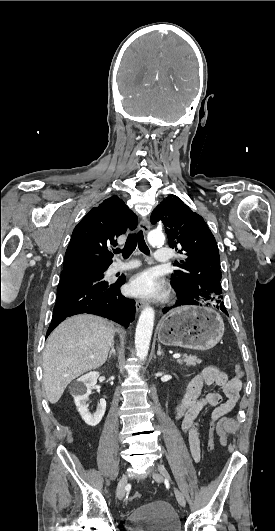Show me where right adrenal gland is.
<instances>
[{"instance_id":"2a0ac1e0","label":"right adrenal gland","mask_w":275,"mask_h":531,"mask_svg":"<svg viewBox=\"0 0 275 531\" xmlns=\"http://www.w3.org/2000/svg\"><path fill=\"white\" fill-rule=\"evenodd\" d=\"M115 343H112L111 345V351L109 353V357H108V361L109 359H111L112 355H116V351H115V347H114Z\"/></svg>"}]
</instances>
